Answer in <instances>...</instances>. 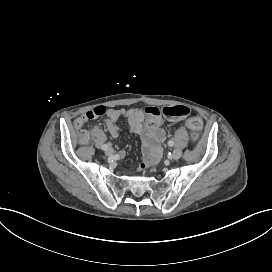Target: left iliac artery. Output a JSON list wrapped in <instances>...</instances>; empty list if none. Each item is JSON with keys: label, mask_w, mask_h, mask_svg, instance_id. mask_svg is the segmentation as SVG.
<instances>
[{"label": "left iliac artery", "mask_w": 272, "mask_h": 272, "mask_svg": "<svg viewBox=\"0 0 272 272\" xmlns=\"http://www.w3.org/2000/svg\"><path fill=\"white\" fill-rule=\"evenodd\" d=\"M168 145H169V146H173V145H174V141H173V140H170V141L168 142Z\"/></svg>", "instance_id": "obj_1"}]
</instances>
